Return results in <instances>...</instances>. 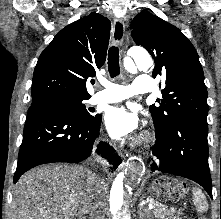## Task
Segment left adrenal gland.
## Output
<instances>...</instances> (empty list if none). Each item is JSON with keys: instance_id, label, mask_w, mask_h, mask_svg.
Listing matches in <instances>:
<instances>
[{"instance_id": "obj_1", "label": "left adrenal gland", "mask_w": 221, "mask_h": 219, "mask_svg": "<svg viewBox=\"0 0 221 219\" xmlns=\"http://www.w3.org/2000/svg\"><path fill=\"white\" fill-rule=\"evenodd\" d=\"M141 206H140V210H138V214H139V217L140 219H146L149 217L148 215V210H144V213L141 211Z\"/></svg>"}]
</instances>
